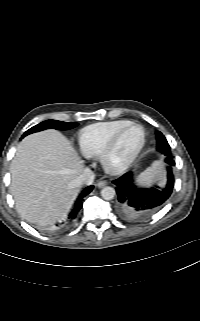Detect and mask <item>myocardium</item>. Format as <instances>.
I'll use <instances>...</instances> for the list:
<instances>
[{
	"instance_id": "obj_1",
	"label": "myocardium",
	"mask_w": 200,
	"mask_h": 321,
	"mask_svg": "<svg viewBox=\"0 0 200 321\" xmlns=\"http://www.w3.org/2000/svg\"><path fill=\"white\" fill-rule=\"evenodd\" d=\"M133 126L139 127L142 131V140H141L140 144L126 160H124L123 162H121L119 164L112 163L111 158H112V155H113V153L119 143L121 136L128 128L133 127ZM145 143H146L145 128L137 122H130V123L126 124L125 126L120 128L114 134V136L111 138V140L108 142L106 147L101 152L99 158H100V163H101L103 169L108 174H111V175H121V174L125 173L131 167V165L134 163L136 158L139 156V154L141 153V151L143 150V148L145 146Z\"/></svg>"
}]
</instances>
